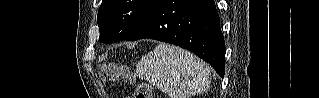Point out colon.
<instances>
[{
    "instance_id": "obj_1",
    "label": "colon",
    "mask_w": 319,
    "mask_h": 98,
    "mask_svg": "<svg viewBox=\"0 0 319 98\" xmlns=\"http://www.w3.org/2000/svg\"><path fill=\"white\" fill-rule=\"evenodd\" d=\"M105 70L108 74L112 75L114 72L113 65H106ZM152 87L149 84L140 85L135 93V98H152Z\"/></svg>"
}]
</instances>
